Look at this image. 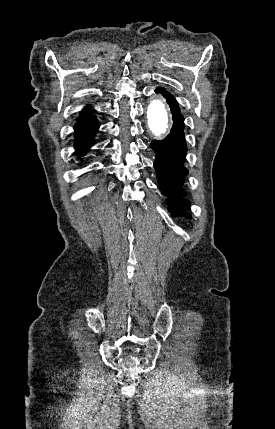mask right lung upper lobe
<instances>
[{
  "instance_id": "1",
  "label": "right lung upper lobe",
  "mask_w": 275,
  "mask_h": 429,
  "mask_svg": "<svg viewBox=\"0 0 275 429\" xmlns=\"http://www.w3.org/2000/svg\"><path fill=\"white\" fill-rule=\"evenodd\" d=\"M93 112H94V110L90 106H87L84 108V110L81 111L80 118L85 117V116H87Z\"/></svg>"
}]
</instances>
